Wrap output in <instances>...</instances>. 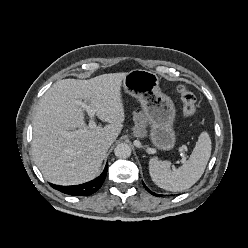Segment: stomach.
Returning a JSON list of instances; mask_svg holds the SVG:
<instances>
[{
	"label": "stomach",
	"instance_id": "0dacf381",
	"mask_svg": "<svg viewBox=\"0 0 248 248\" xmlns=\"http://www.w3.org/2000/svg\"><path fill=\"white\" fill-rule=\"evenodd\" d=\"M124 90L138 99L143 117L150 125V139L159 150L174 148L176 134L173 128L176 110L172 99L161 92L158 76L147 70L134 69L123 79Z\"/></svg>",
	"mask_w": 248,
	"mask_h": 248
}]
</instances>
